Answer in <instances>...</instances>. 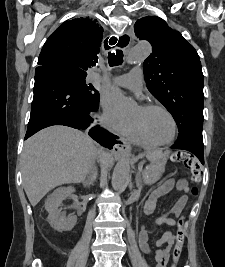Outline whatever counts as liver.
I'll use <instances>...</instances> for the list:
<instances>
[{"mask_svg":"<svg viewBox=\"0 0 225 267\" xmlns=\"http://www.w3.org/2000/svg\"><path fill=\"white\" fill-rule=\"evenodd\" d=\"M99 149L86 134L66 126L41 130L24 143L22 180L32 206L53 188L85 180ZM109 163L111 156L104 154Z\"/></svg>","mask_w":225,"mask_h":267,"instance_id":"6515ba94","label":"liver"}]
</instances>
